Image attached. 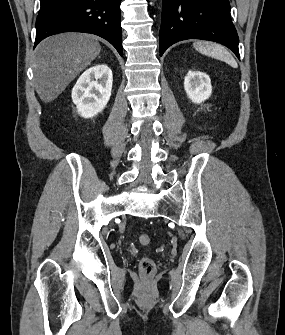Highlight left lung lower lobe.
<instances>
[{"label": "left lung lower lobe", "mask_w": 285, "mask_h": 335, "mask_svg": "<svg viewBox=\"0 0 285 335\" xmlns=\"http://www.w3.org/2000/svg\"><path fill=\"white\" fill-rule=\"evenodd\" d=\"M159 39L161 56L178 41L202 39L227 46L239 58L229 0H163Z\"/></svg>", "instance_id": "left-lung-lower-lobe-1"}]
</instances>
